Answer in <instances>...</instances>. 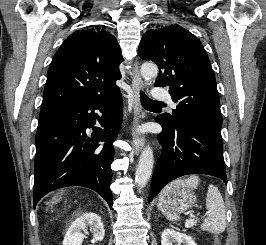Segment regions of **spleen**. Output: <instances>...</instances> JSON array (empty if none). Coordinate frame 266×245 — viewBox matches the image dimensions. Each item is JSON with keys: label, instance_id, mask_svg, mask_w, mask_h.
Wrapping results in <instances>:
<instances>
[{"label": "spleen", "instance_id": "3e777b00", "mask_svg": "<svg viewBox=\"0 0 266 245\" xmlns=\"http://www.w3.org/2000/svg\"><path fill=\"white\" fill-rule=\"evenodd\" d=\"M200 183L199 177H195V175H191L188 179H177V181H173L170 183L168 187H165L163 191L160 193L159 201H158V209L162 211L163 215L169 219V221H179L180 217L178 215H171V213H167L164 209L163 201L168 195L171 193L173 189H181V187H187L189 191H193L196 189ZM206 209H207V219H205L203 225H201V231H209V233H224L226 229V209L224 205V201L222 199V195L220 191H218V187H214V185H209L208 193L206 197Z\"/></svg>", "mask_w": 266, "mask_h": 245}]
</instances>
